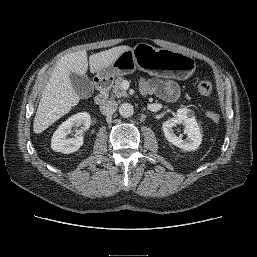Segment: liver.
I'll list each match as a JSON object with an SVG mask.
<instances>
[{
	"mask_svg": "<svg viewBox=\"0 0 257 257\" xmlns=\"http://www.w3.org/2000/svg\"><path fill=\"white\" fill-rule=\"evenodd\" d=\"M129 46H117L88 57L85 50L63 56L57 63L46 84L34 118L33 131L39 134L66 115L79 103V96L72 87L70 75L83 76L88 70L97 73L109 67Z\"/></svg>",
	"mask_w": 257,
	"mask_h": 257,
	"instance_id": "obj_1",
	"label": "liver"
}]
</instances>
